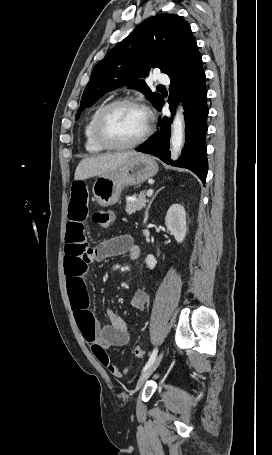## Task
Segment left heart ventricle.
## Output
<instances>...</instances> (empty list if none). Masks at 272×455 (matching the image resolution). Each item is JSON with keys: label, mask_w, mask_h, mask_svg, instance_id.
Listing matches in <instances>:
<instances>
[{"label": "left heart ventricle", "mask_w": 272, "mask_h": 455, "mask_svg": "<svg viewBox=\"0 0 272 455\" xmlns=\"http://www.w3.org/2000/svg\"><path fill=\"white\" fill-rule=\"evenodd\" d=\"M145 113L134 106L123 105L110 110L102 123L104 135L115 143L136 140L144 131Z\"/></svg>", "instance_id": "1"}]
</instances>
